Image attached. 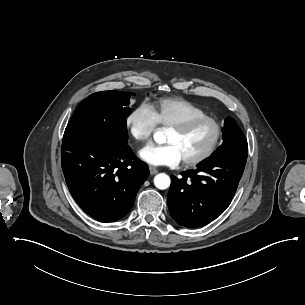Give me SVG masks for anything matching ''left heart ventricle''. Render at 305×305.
<instances>
[{"mask_svg": "<svg viewBox=\"0 0 305 305\" xmlns=\"http://www.w3.org/2000/svg\"><path fill=\"white\" fill-rule=\"evenodd\" d=\"M216 136V125L213 122H202L186 131H175L168 128L165 141L174 144L184 160L201 155L213 144Z\"/></svg>", "mask_w": 305, "mask_h": 305, "instance_id": "1", "label": "left heart ventricle"}]
</instances>
